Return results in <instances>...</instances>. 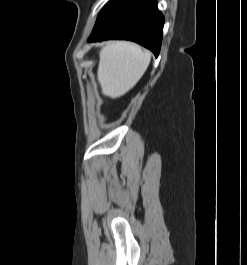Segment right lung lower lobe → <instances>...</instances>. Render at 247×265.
<instances>
[{
	"label": "right lung lower lobe",
	"instance_id": "98d812e1",
	"mask_svg": "<svg viewBox=\"0 0 247 265\" xmlns=\"http://www.w3.org/2000/svg\"><path fill=\"white\" fill-rule=\"evenodd\" d=\"M163 25L164 17L156 0H110L99 14L88 41L132 40L158 56Z\"/></svg>",
	"mask_w": 247,
	"mask_h": 265
}]
</instances>
